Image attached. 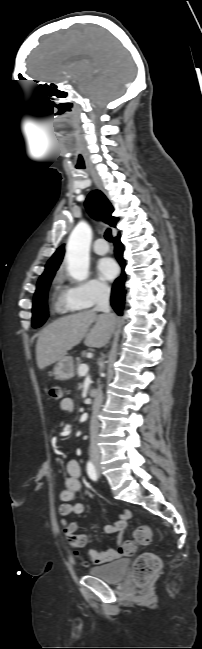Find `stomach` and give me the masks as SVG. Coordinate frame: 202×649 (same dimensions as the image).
Masks as SVG:
<instances>
[{
	"instance_id": "1",
	"label": "stomach",
	"mask_w": 202,
	"mask_h": 649,
	"mask_svg": "<svg viewBox=\"0 0 202 649\" xmlns=\"http://www.w3.org/2000/svg\"><path fill=\"white\" fill-rule=\"evenodd\" d=\"M56 380H69L75 375V362L72 356H64L57 361L53 369Z\"/></svg>"
}]
</instances>
